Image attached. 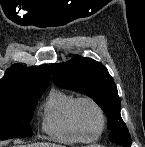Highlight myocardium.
Here are the masks:
<instances>
[{"label":"myocardium","mask_w":145,"mask_h":147,"mask_svg":"<svg viewBox=\"0 0 145 147\" xmlns=\"http://www.w3.org/2000/svg\"><path fill=\"white\" fill-rule=\"evenodd\" d=\"M83 105L92 106L98 113V116L100 118V127H99V130L94 134V136L99 137L105 130V127L107 124V117H106L105 111L102 108V106L95 99L91 97L84 96V97L78 98L74 108V119L80 131L85 133H88V129L85 127L82 120L81 109Z\"/></svg>","instance_id":"obj_1"}]
</instances>
